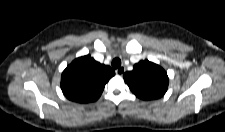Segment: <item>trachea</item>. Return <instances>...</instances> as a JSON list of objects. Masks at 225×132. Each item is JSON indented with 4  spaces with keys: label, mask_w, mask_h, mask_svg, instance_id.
Listing matches in <instances>:
<instances>
[{
    "label": "trachea",
    "mask_w": 225,
    "mask_h": 132,
    "mask_svg": "<svg viewBox=\"0 0 225 132\" xmlns=\"http://www.w3.org/2000/svg\"><path fill=\"white\" fill-rule=\"evenodd\" d=\"M120 66H121V60H120L119 58L113 59V61H112V67H113L114 69H117V68H119Z\"/></svg>",
    "instance_id": "1"
}]
</instances>
